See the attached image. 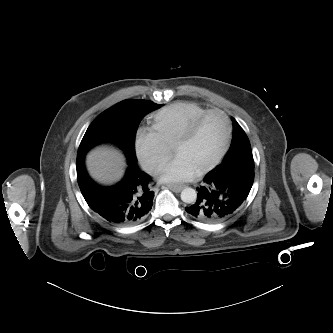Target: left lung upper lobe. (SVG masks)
<instances>
[{"label": "left lung upper lobe", "mask_w": 333, "mask_h": 333, "mask_svg": "<svg viewBox=\"0 0 333 333\" xmlns=\"http://www.w3.org/2000/svg\"><path fill=\"white\" fill-rule=\"evenodd\" d=\"M232 121L233 138L231 146L227 154L225 155L222 163L218 165L215 169L210 171L208 174H215L217 172H220L222 169L235 164H248L250 166H254V160L249 139L247 138L244 130L234 118H232Z\"/></svg>", "instance_id": "obj_1"}]
</instances>
